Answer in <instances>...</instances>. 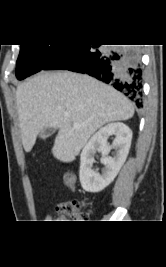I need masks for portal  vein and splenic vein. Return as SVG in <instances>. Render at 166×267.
<instances>
[{
	"mask_svg": "<svg viewBox=\"0 0 166 267\" xmlns=\"http://www.w3.org/2000/svg\"><path fill=\"white\" fill-rule=\"evenodd\" d=\"M65 117H69V114L66 113V114H65ZM74 126H80V124H79V123H74Z\"/></svg>",
	"mask_w": 166,
	"mask_h": 267,
	"instance_id": "1",
	"label": "portal vein and splenic vein"
}]
</instances>
